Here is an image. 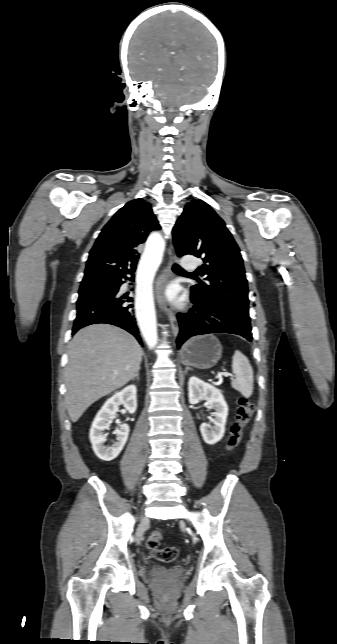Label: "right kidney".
<instances>
[{"instance_id": "obj_1", "label": "right kidney", "mask_w": 337, "mask_h": 644, "mask_svg": "<svg viewBox=\"0 0 337 644\" xmlns=\"http://www.w3.org/2000/svg\"><path fill=\"white\" fill-rule=\"evenodd\" d=\"M136 394V386L129 385L109 398L97 413L92 423L89 437L94 453L101 460L111 461L115 459L125 446L130 431L127 424L120 425V428L115 432L117 437L112 447H105L103 445L106 441L103 431L108 429L112 419L116 417L119 405H124L125 409L131 414L136 411Z\"/></svg>"}]
</instances>
